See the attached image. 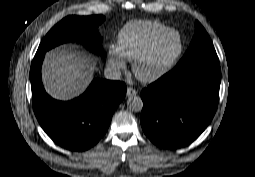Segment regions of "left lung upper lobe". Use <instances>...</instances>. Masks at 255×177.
<instances>
[{
	"mask_svg": "<svg viewBox=\"0 0 255 177\" xmlns=\"http://www.w3.org/2000/svg\"><path fill=\"white\" fill-rule=\"evenodd\" d=\"M195 26L196 30L190 47L176 67L199 59H218L214 46L206 30L198 21H196Z\"/></svg>",
	"mask_w": 255,
	"mask_h": 177,
	"instance_id": "left-lung-upper-lobe-1",
	"label": "left lung upper lobe"
}]
</instances>
